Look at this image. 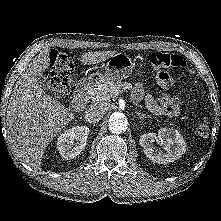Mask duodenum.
Masks as SVG:
<instances>
[{
  "label": "duodenum",
  "mask_w": 221,
  "mask_h": 221,
  "mask_svg": "<svg viewBox=\"0 0 221 221\" xmlns=\"http://www.w3.org/2000/svg\"><path fill=\"white\" fill-rule=\"evenodd\" d=\"M94 85V80L86 79L81 81L75 88L74 96L71 102V109L75 110L80 108L83 103L88 99L90 90Z\"/></svg>",
  "instance_id": "duodenum-1"
}]
</instances>
